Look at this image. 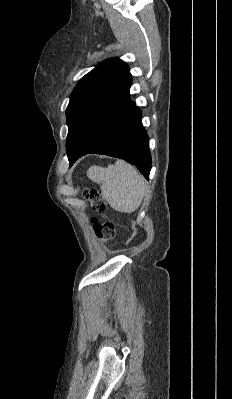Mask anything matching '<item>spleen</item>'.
<instances>
[{"label": "spleen", "mask_w": 232, "mask_h": 399, "mask_svg": "<svg viewBox=\"0 0 232 399\" xmlns=\"http://www.w3.org/2000/svg\"><path fill=\"white\" fill-rule=\"evenodd\" d=\"M87 176L92 182L101 184L102 194L113 209L132 213L140 207L146 192L144 178L124 160H117L115 166L108 168L91 166Z\"/></svg>", "instance_id": "spleen-1"}]
</instances>
